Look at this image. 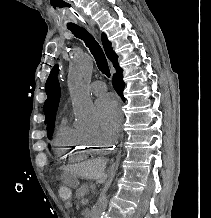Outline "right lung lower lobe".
<instances>
[{
  "label": "right lung lower lobe",
  "mask_w": 211,
  "mask_h": 218,
  "mask_svg": "<svg viewBox=\"0 0 211 218\" xmlns=\"http://www.w3.org/2000/svg\"><path fill=\"white\" fill-rule=\"evenodd\" d=\"M117 71L116 74L113 75V86L118 95L124 100L123 90H124V82L122 79V69L118 66V63L113 65Z\"/></svg>",
  "instance_id": "98d812e1"
}]
</instances>
